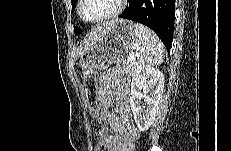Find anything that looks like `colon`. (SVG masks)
I'll use <instances>...</instances> for the list:
<instances>
[{"mask_svg":"<svg viewBox=\"0 0 231 151\" xmlns=\"http://www.w3.org/2000/svg\"><path fill=\"white\" fill-rule=\"evenodd\" d=\"M84 91L86 101L90 108L92 115L94 116L98 129L103 127V120L101 118V108L99 105V97L97 93V75L93 70H88L83 76ZM96 151H108L107 145L100 140L96 146Z\"/></svg>","mask_w":231,"mask_h":151,"instance_id":"colon-1","label":"colon"}]
</instances>
